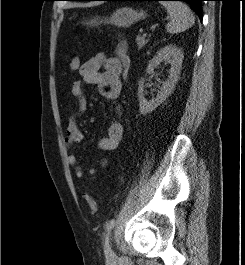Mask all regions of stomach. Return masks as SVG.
I'll list each match as a JSON object with an SVG mask.
<instances>
[{
    "label": "stomach",
    "mask_w": 245,
    "mask_h": 265,
    "mask_svg": "<svg viewBox=\"0 0 245 265\" xmlns=\"http://www.w3.org/2000/svg\"><path fill=\"white\" fill-rule=\"evenodd\" d=\"M145 17L146 13L143 10L138 11L131 7H122L117 9L109 18L102 20L100 17L96 16L89 20L82 21V24L87 26H97L104 22L113 24L117 27H129Z\"/></svg>",
    "instance_id": "obj_1"
}]
</instances>
